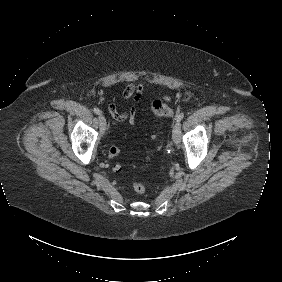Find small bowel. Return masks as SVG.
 Returning <instances> with one entry per match:
<instances>
[{
    "mask_svg": "<svg viewBox=\"0 0 282 282\" xmlns=\"http://www.w3.org/2000/svg\"><path fill=\"white\" fill-rule=\"evenodd\" d=\"M144 84H127L122 91V99L128 103L123 110H118L114 103L108 104V110L112 116L113 123L121 124L124 122L130 123L132 126L136 125V110L141 101ZM170 100L168 97H165Z\"/></svg>",
    "mask_w": 282,
    "mask_h": 282,
    "instance_id": "obj_1",
    "label": "small bowel"
}]
</instances>
